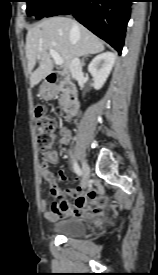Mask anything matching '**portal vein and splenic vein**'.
Segmentation results:
<instances>
[{"instance_id":"portal-vein-and-splenic-vein-1","label":"portal vein and splenic vein","mask_w":158,"mask_h":275,"mask_svg":"<svg viewBox=\"0 0 158 275\" xmlns=\"http://www.w3.org/2000/svg\"><path fill=\"white\" fill-rule=\"evenodd\" d=\"M49 54L53 58L56 65H63V58L54 49H50Z\"/></svg>"}]
</instances>
